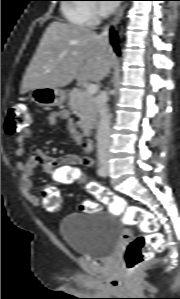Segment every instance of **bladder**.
Instances as JSON below:
<instances>
[{
	"label": "bladder",
	"instance_id": "31cf9c89",
	"mask_svg": "<svg viewBox=\"0 0 180 299\" xmlns=\"http://www.w3.org/2000/svg\"><path fill=\"white\" fill-rule=\"evenodd\" d=\"M59 230L74 253L97 260L108 259L123 235L119 220L107 210L69 214L60 222Z\"/></svg>",
	"mask_w": 180,
	"mask_h": 299
}]
</instances>
